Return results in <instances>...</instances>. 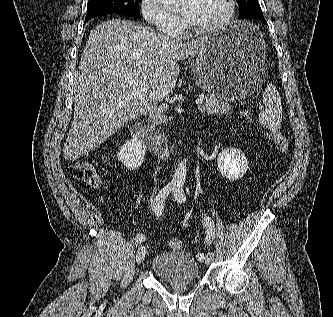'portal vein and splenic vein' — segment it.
Wrapping results in <instances>:
<instances>
[{"instance_id": "1", "label": "portal vein and splenic vein", "mask_w": 333, "mask_h": 317, "mask_svg": "<svg viewBox=\"0 0 333 317\" xmlns=\"http://www.w3.org/2000/svg\"><path fill=\"white\" fill-rule=\"evenodd\" d=\"M138 96H139V93L136 91V89H134L129 97H131V98H135V99H136V98H138ZM195 102H196V104H198V105L203 104V102H204V97L202 96V97L198 98ZM259 109H262V106H261V105L259 106Z\"/></svg>"}]
</instances>
